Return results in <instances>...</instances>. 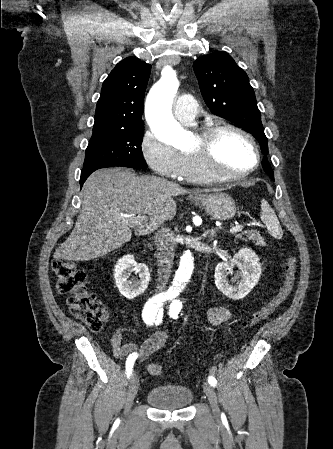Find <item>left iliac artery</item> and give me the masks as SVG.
<instances>
[{
  "label": "left iliac artery",
  "mask_w": 333,
  "mask_h": 449,
  "mask_svg": "<svg viewBox=\"0 0 333 449\" xmlns=\"http://www.w3.org/2000/svg\"><path fill=\"white\" fill-rule=\"evenodd\" d=\"M182 309V303L179 300L173 299L172 303L170 304L169 307V315L170 317L177 319L178 318V314L180 312V310ZM208 383L215 387L217 384V380L214 376H209L208 377Z\"/></svg>",
  "instance_id": "left-iliac-artery-1"
}]
</instances>
